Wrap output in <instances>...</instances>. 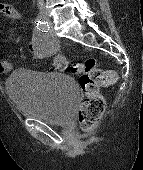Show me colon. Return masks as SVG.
<instances>
[{
  "mask_svg": "<svg viewBox=\"0 0 143 170\" xmlns=\"http://www.w3.org/2000/svg\"><path fill=\"white\" fill-rule=\"evenodd\" d=\"M57 63L58 69H66V62L61 57H57ZM69 71L79 76L84 98L78 118L82 129L88 130L100 121L105 110V101L99 89L113 85L117 81V74L113 70L101 69L94 58L71 65Z\"/></svg>",
  "mask_w": 143,
  "mask_h": 170,
  "instance_id": "1",
  "label": "colon"
}]
</instances>
